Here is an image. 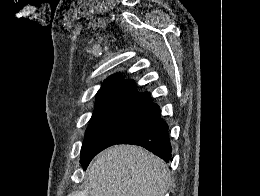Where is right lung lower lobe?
<instances>
[{
  "label": "right lung lower lobe",
  "mask_w": 260,
  "mask_h": 196,
  "mask_svg": "<svg viewBox=\"0 0 260 196\" xmlns=\"http://www.w3.org/2000/svg\"><path fill=\"white\" fill-rule=\"evenodd\" d=\"M146 109L151 114L157 116L156 120L130 134L118 144L142 146L162 158L164 161L169 162L172 160V148L168 134V126L166 122L160 118V111L157 104L152 103L148 105ZM99 152V150L81 149V163L84 168L87 167L92 158Z\"/></svg>",
  "instance_id": "1"
}]
</instances>
